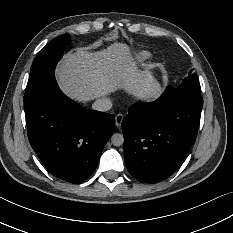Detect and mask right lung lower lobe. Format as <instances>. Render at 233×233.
Masks as SVG:
<instances>
[{
  "label": "right lung lower lobe",
  "instance_id": "1",
  "mask_svg": "<svg viewBox=\"0 0 233 233\" xmlns=\"http://www.w3.org/2000/svg\"><path fill=\"white\" fill-rule=\"evenodd\" d=\"M24 110L30 144L51 174L77 184L95 171L114 131V115L73 102L56 80L25 102Z\"/></svg>",
  "mask_w": 233,
  "mask_h": 233
}]
</instances>
